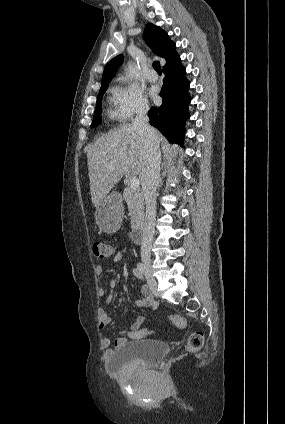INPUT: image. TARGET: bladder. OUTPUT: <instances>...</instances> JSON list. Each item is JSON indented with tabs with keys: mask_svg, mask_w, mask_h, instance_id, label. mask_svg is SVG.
<instances>
[{
	"mask_svg": "<svg viewBox=\"0 0 285 424\" xmlns=\"http://www.w3.org/2000/svg\"><path fill=\"white\" fill-rule=\"evenodd\" d=\"M169 346L157 340H135L116 348L111 355L108 366L116 373L125 372L139 365L157 366L168 354Z\"/></svg>",
	"mask_w": 285,
	"mask_h": 424,
	"instance_id": "bladder-1",
	"label": "bladder"
}]
</instances>
